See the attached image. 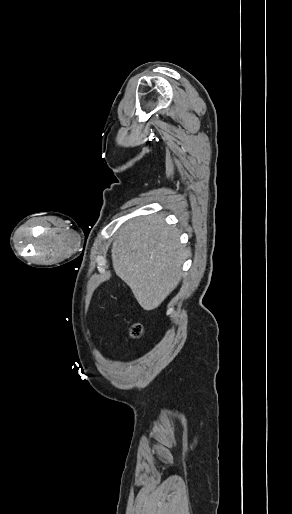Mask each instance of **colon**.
Listing matches in <instances>:
<instances>
[{
	"mask_svg": "<svg viewBox=\"0 0 292 514\" xmlns=\"http://www.w3.org/2000/svg\"><path fill=\"white\" fill-rule=\"evenodd\" d=\"M130 334L134 339H140L143 336V326L141 323H134L130 329Z\"/></svg>",
	"mask_w": 292,
	"mask_h": 514,
	"instance_id": "obj_1",
	"label": "colon"
}]
</instances>
